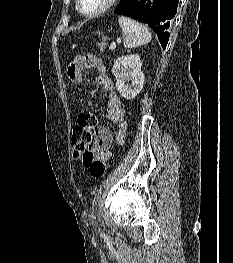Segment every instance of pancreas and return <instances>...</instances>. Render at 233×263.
Here are the masks:
<instances>
[{
	"label": "pancreas",
	"mask_w": 233,
	"mask_h": 263,
	"mask_svg": "<svg viewBox=\"0 0 233 263\" xmlns=\"http://www.w3.org/2000/svg\"><path fill=\"white\" fill-rule=\"evenodd\" d=\"M97 45L99 46L102 52L105 51V46L107 45V38H103L101 42H98Z\"/></svg>",
	"instance_id": "pancreas-1"
}]
</instances>
